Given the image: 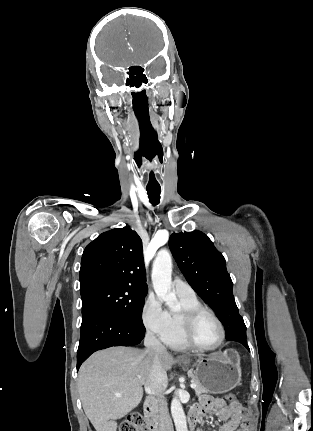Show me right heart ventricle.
I'll return each mask as SVG.
<instances>
[{"instance_id":"e07e8e85","label":"right heart ventricle","mask_w":313,"mask_h":431,"mask_svg":"<svg viewBox=\"0 0 313 431\" xmlns=\"http://www.w3.org/2000/svg\"><path fill=\"white\" fill-rule=\"evenodd\" d=\"M181 303V309L179 311H170L169 313V331L163 338L164 343L172 349L184 350L189 346L183 339L182 336V312L188 309L200 307L201 304L196 296H180L178 295Z\"/></svg>"}]
</instances>
